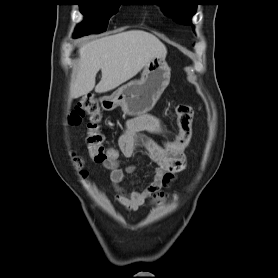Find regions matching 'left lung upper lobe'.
<instances>
[{
    "instance_id": "obj_1",
    "label": "left lung upper lobe",
    "mask_w": 278,
    "mask_h": 278,
    "mask_svg": "<svg viewBox=\"0 0 278 278\" xmlns=\"http://www.w3.org/2000/svg\"><path fill=\"white\" fill-rule=\"evenodd\" d=\"M166 15L171 16L176 22L191 24L190 18L196 11L197 4L194 0H157Z\"/></svg>"
}]
</instances>
